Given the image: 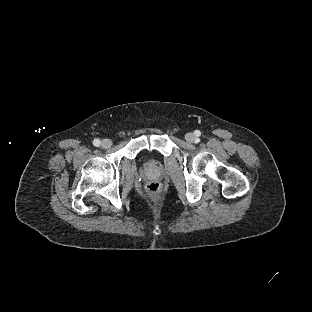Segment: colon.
Listing matches in <instances>:
<instances>
[{"mask_svg":"<svg viewBox=\"0 0 312 312\" xmlns=\"http://www.w3.org/2000/svg\"><path fill=\"white\" fill-rule=\"evenodd\" d=\"M146 194L149 198L159 199L161 197L162 191L158 182H151V184L146 187Z\"/></svg>","mask_w":312,"mask_h":312,"instance_id":"colon-1","label":"colon"}]
</instances>
